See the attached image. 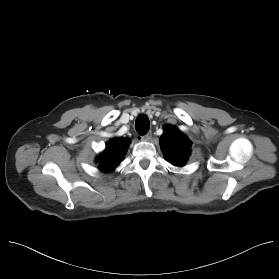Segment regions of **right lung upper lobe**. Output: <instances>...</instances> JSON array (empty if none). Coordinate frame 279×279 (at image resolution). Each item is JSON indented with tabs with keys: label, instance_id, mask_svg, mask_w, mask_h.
Listing matches in <instances>:
<instances>
[{
	"label": "right lung upper lobe",
	"instance_id": "right-lung-upper-lobe-1",
	"mask_svg": "<svg viewBox=\"0 0 279 279\" xmlns=\"http://www.w3.org/2000/svg\"><path fill=\"white\" fill-rule=\"evenodd\" d=\"M130 140L114 138L106 144V149L96 158L98 168L104 172H112L123 160Z\"/></svg>",
	"mask_w": 279,
	"mask_h": 279
}]
</instances>
